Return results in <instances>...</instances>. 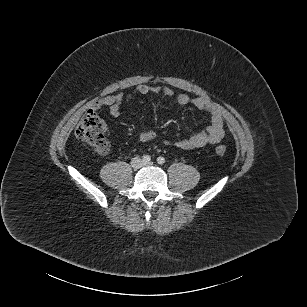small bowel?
I'll return each instance as SVG.
<instances>
[{"mask_svg": "<svg viewBox=\"0 0 307 307\" xmlns=\"http://www.w3.org/2000/svg\"><path fill=\"white\" fill-rule=\"evenodd\" d=\"M147 94H162L166 97H172L174 92L169 87L139 85L133 93L124 94L118 93L108 95L100 99L94 105V109H100L101 107H108L111 116L118 117L121 114V106L123 103H127L134 95H147ZM176 101L180 105H191L199 110L205 111L209 114L211 123L202 132L195 133L186 139H181L176 142L164 141L165 145L175 146L182 150H192L202 148L206 145H213L219 143L224 135V119L220 111L209 101L202 97L190 98L185 93L176 95ZM156 133L152 130H146L139 135L140 142H150L154 140Z\"/></svg>", "mask_w": 307, "mask_h": 307, "instance_id": "small-bowel-1", "label": "small bowel"}]
</instances>
